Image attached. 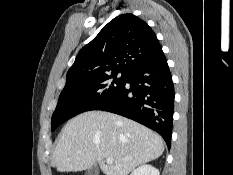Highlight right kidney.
<instances>
[{"instance_id": "obj_1", "label": "right kidney", "mask_w": 233, "mask_h": 175, "mask_svg": "<svg viewBox=\"0 0 233 175\" xmlns=\"http://www.w3.org/2000/svg\"><path fill=\"white\" fill-rule=\"evenodd\" d=\"M130 175H160V173L155 167L144 164L136 168Z\"/></svg>"}]
</instances>
